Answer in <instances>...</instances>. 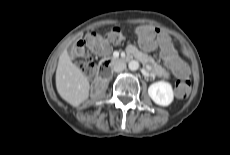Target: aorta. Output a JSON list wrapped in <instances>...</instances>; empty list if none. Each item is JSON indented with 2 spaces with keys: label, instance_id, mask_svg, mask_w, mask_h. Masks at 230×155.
Returning <instances> with one entry per match:
<instances>
[{
  "label": "aorta",
  "instance_id": "1",
  "mask_svg": "<svg viewBox=\"0 0 230 155\" xmlns=\"http://www.w3.org/2000/svg\"><path fill=\"white\" fill-rule=\"evenodd\" d=\"M128 67L131 71H136L138 70L139 68V62L136 61V60H131L129 63H128Z\"/></svg>",
  "mask_w": 230,
  "mask_h": 155
}]
</instances>
